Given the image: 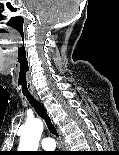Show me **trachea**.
Here are the masks:
<instances>
[{"label":"trachea","mask_w":119,"mask_h":155,"mask_svg":"<svg viewBox=\"0 0 119 155\" xmlns=\"http://www.w3.org/2000/svg\"><path fill=\"white\" fill-rule=\"evenodd\" d=\"M20 90H23L22 96H26L27 100L34 107V109L37 112V114L41 118H43L45 120L46 125H47L48 130L50 131V133H52L55 136H58L57 130H56L54 124L52 123L50 117L48 116L45 108L43 107V105L38 100H36L30 94L29 87H20Z\"/></svg>","instance_id":"1"}]
</instances>
